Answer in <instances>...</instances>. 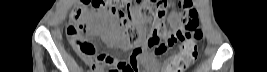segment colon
I'll return each mask as SVG.
<instances>
[{"label": "colon", "instance_id": "1", "mask_svg": "<svg viewBox=\"0 0 267 72\" xmlns=\"http://www.w3.org/2000/svg\"><path fill=\"white\" fill-rule=\"evenodd\" d=\"M132 0H82L72 8L67 26V37L84 62L104 68L106 72H120L130 70V67L118 62L108 54H101L92 58L94 47L84 36L86 32L85 12L87 6L94 11L111 17L115 28H121L128 43L141 50L143 46L154 47L157 53H163L170 47L175 37L165 25L172 2L169 0L146 1L145 6L138 11L133 10ZM191 1L180 2L182 31L184 40L180 52L172 63V72H182L197 58V41L202 38V30L196 18V10ZM138 21L145 25L140 27Z\"/></svg>", "mask_w": 267, "mask_h": 72}]
</instances>
